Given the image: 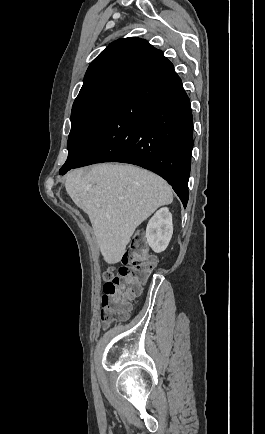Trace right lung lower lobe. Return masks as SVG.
I'll return each mask as SVG.
<instances>
[{
	"label": "right lung lower lobe",
	"mask_w": 265,
	"mask_h": 434,
	"mask_svg": "<svg viewBox=\"0 0 265 434\" xmlns=\"http://www.w3.org/2000/svg\"><path fill=\"white\" fill-rule=\"evenodd\" d=\"M192 148L190 100L161 55L134 75L92 145L60 174L102 162L135 164L167 180L186 207Z\"/></svg>",
	"instance_id": "right-lung-lower-lobe-1"
}]
</instances>
